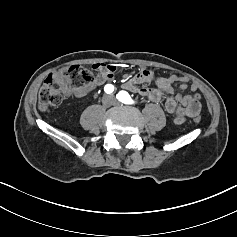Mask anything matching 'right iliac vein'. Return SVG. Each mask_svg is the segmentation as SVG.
<instances>
[{
	"label": "right iliac vein",
	"instance_id": "obj_1",
	"mask_svg": "<svg viewBox=\"0 0 237 237\" xmlns=\"http://www.w3.org/2000/svg\"><path fill=\"white\" fill-rule=\"evenodd\" d=\"M104 106H111L114 102V97L107 95L102 100Z\"/></svg>",
	"mask_w": 237,
	"mask_h": 237
}]
</instances>
